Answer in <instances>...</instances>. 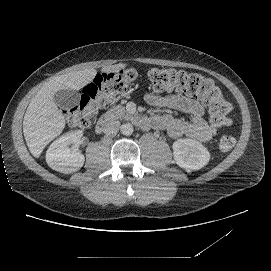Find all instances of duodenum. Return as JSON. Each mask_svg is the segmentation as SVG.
<instances>
[{
  "label": "duodenum",
  "mask_w": 271,
  "mask_h": 271,
  "mask_svg": "<svg viewBox=\"0 0 271 271\" xmlns=\"http://www.w3.org/2000/svg\"><path fill=\"white\" fill-rule=\"evenodd\" d=\"M116 128V122L110 116H104L97 122L95 130L97 133L112 134Z\"/></svg>",
  "instance_id": "1"
}]
</instances>
